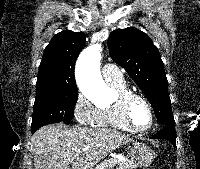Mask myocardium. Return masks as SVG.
Returning a JSON list of instances; mask_svg holds the SVG:
<instances>
[{
	"mask_svg": "<svg viewBox=\"0 0 200 169\" xmlns=\"http://www.w3.org/2000/svg\"><path fill=\"white\" fill-rule=\"evenodd\" d=\"M139 99L145 103L147 106L149 113H150V122L146 127L139 128L136 127L130 118V105L131 103ZM118 106H119V111H120V116L124 124L133 132H145L149 130L153 124H154V119H155V114L153 107L150 103V101L142 94L134 92V91H127L123 94H120L117 98Z\"/></svg>",
	"mask_w": 200,
	"mask_h": 169,
	"instance_id": "myocardium-1",
	"label": "myocardium"
}]
</instances>
